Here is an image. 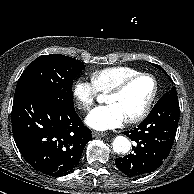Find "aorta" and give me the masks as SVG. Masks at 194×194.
Returning a JSON list of instances; mask_svg holds the SVG:
<instances>
[{"label": "aorta", "instance_id": "aorta-1", "mask_svg": "<svg viewBox=\"0 0 194 194\" xmlns=\"http://www.w3.org/2000/svg\"><path fill=\"white\" fill-rule=\"evenodd\" d=\"M112 147L114 152L120 153H127L130 150L131 143L125 136H117L112 143Z\"/></svg>", "mask_w": 194, "mask_h": 194}]
</instances>
